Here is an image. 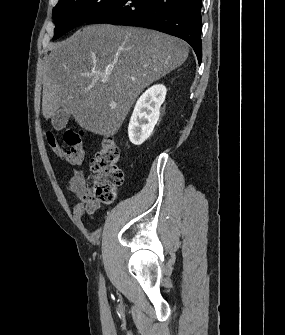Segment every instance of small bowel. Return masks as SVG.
<instances>
[{
    "label": "small bowel",
    "mask_w": 285,
    "mask_h": 335,
    "mask_svg": "<svg viewBox=\"0 0 285 335\" xmlns=\"http://www.w3.org/2000/svg\"><path fill=\"white\" fill-rule=\"evenodd\" d=\"M69 190L78 199L73 207V215L78 224H82L85 215H92L102 207L93 198L88 181L82 171L76 170L69 181Z\"/></svg>",
    "instance_id": "c3829d8e"
}]
</instances>
